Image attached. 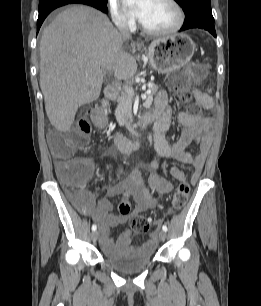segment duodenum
<instances>
[{"mask_svg":"<svg viewBox=\"0 0 261 306\" xmlns=\"http://www.w3.org/2000/svg\"><path fill=\"white\" fill-rule=\"evenodd\" d=\"M105 99L107 101H114L117 97V89L115 87H107L105 90ZM151 122V117L148 115H143L139 117L135 124L138 129H143ZM115 145L123 153H129L136 149L140 145V139L136 138L134 140H129L126 137L117 134L114 139Z\"/></svg>","mask_w":261,"mask_h":306,"instance_id":"410a0bca","label":"duodenum"}]
</instances>
